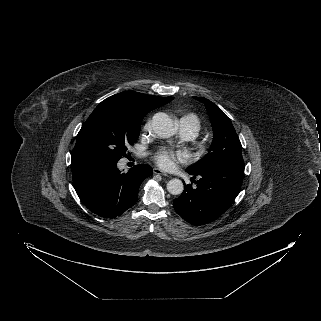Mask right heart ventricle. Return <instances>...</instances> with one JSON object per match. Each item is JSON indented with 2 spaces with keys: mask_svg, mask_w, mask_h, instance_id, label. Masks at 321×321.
I'll return each instance as SVG.
<instances>
[{
  "mask_svg": "<svg viewBox=\"0 0 321 321\" xmlns=\"http://www.w3.org/2000/svg\"><path fill=\"white\" fill-rule=\"evenodd\" d=\"M181 121L193 126L197 131L200 128V125H201L200 119L195 113H187V114H185L180 119V122Z\"/></svg>",
  "mask_w": 321,
  "mask_h": 321,
  "instance_id": "e07e8e85",
  "label": "right heart ventricle"
}]
</instances>
